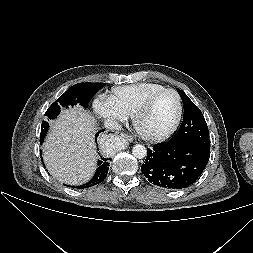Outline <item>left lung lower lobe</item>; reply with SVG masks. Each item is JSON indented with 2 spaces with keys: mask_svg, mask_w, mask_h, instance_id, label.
<instances>
[{
  "mask_svg": "<svg viewBox=\"0 0 253 253\" xmlns=\"http://www.w3.org/2000/svg\"><path fill=\"white\" fill-rule=\"evenodd\" d=\"M209 153L210 150L196 144L167 141L147 150L141 170L154 185L182 189L198 179L208 163Z\"/></svg>",
  "mask_w": 253,
  "mask_h": 253,
  "instance_id": "obj_1",
  "label": "left lung lower lobe"
}]
</instances>
